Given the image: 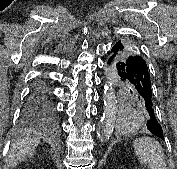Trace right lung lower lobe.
Masks as SVG:
<instances>
[{
    "label": "right lung lower lobe",
    "mask_w": 177,
    "mask_h": 169,
    "mask_svg": "<svg viewBox=\"0 0 177 169\" xmlns=\"http://www.w3.org/2000/svg\"><path fill=\"white\" fill-rule=\"evenodd\" d=\"M54 108L49 99V89L45 82H39L31 93L24 115L29 120L50 119L54 116Z\"/></svg>",
    "instance_id": "obj_1"
}]
</instances>
